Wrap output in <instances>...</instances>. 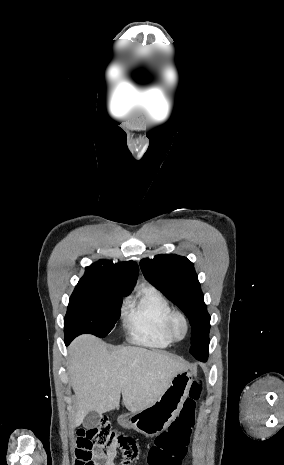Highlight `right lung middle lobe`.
<instances>
[{
  "label": "right lung middle lobe",
  "instance_id": "obj_1",
  "mask_svg": "<svg viewBox=\"0 0 284 465\" xmlns=\"http://www.w3.org/2000/svg\"><path fill=\"white\" fill-rule=\"evenodd\" d=\"M124 296L98 286L77 284L64 318L65 338L74 339L83 333L106 337L119 319Z\"/></svg>",
  "mask_w": 284,
  "mask_h": 465
}]
</instances>
